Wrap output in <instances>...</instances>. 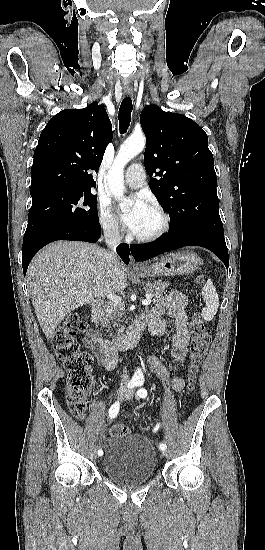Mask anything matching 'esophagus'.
I'll use <instances>...</instances> for the list:
<instances>
[{"label": "esophagus", "instance_id": "34e87169", "mask_svg": "<svg viewBox=\"0 0 265 550\" xmlns=\"http://www.w3.org/2000/svg\"><path fill=\"white\" fill-rule=\"evenodd\" d=\"M124 94L127 96L132 95V91H124ZM130 265L132 268H139V264L135 261L134 257L130 255Z\"/></svg>", "mask_w": 265, "mask_h": 550}]
</instances>
